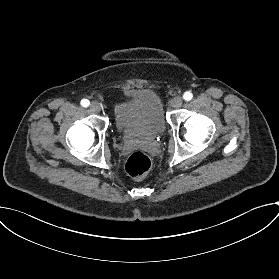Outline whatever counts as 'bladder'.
Returning <instances> with one entry per match:
<instances>
[{
    "instance_id": "1",
    "label": "bladder",
    "mask_w": 279,
    "mask_h": 279,
    "mask_svg": "<svg viewBox=\"0 0 279 279\" xmlns=\"http://www.w3.org/2000/svg\"><path fill=\"white\" fill-rule=\"evenodd\" d=\"M115 128L126 139L160 135L167 128L164 108L156 93L138 90L112 108Z\"/></svg>"
}]
</instances>
